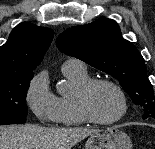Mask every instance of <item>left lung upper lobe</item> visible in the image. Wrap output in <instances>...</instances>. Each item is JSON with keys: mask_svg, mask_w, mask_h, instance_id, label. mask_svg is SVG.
I'll list each match as a JSON object with an SVG mask.
<instances>
[{"mask_svg": "<svg viewBox=\"0 0 155 149\" xmlns=\"http://www.w3.org/2000/svg\"><path fill=\"white\" fill-rule=\"evenodd\" d=\"M57 47L113 76L141 107L143 119H155V98L144 59L137 48L122 37L116 21L100 18L71 27L59 35Z\"/></svg>", "mask_w": 155, "mask_h": 149, "instance_id": "obj_1", "label": "left lung upper lobe"}]
</instances>
